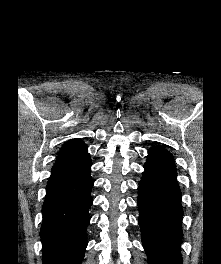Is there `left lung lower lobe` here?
Returning a JSON list of instances; mask_svg holds the SVG:
<instances>
[{"instance_id":"obj_1","label":"left lung lower lobe","mask_w":221,"mask_h":264,"mask_svg":"<svg viewBox=\"0 0 221 264\" xmlns=\"http://www.w3.org/2000/svg\"><path fill=\"white\" fill-rule=\"evenodd\" d=\"M138 187L139 225L149 264H182L181 191L173 156L162 147L148 151Z\"/></svg>"}]
</instances>
